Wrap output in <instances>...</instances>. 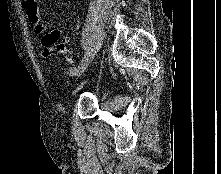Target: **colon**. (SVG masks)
<instances>
[{
	"label": "colon",
	"instance_id": "1",
	"mask_svg": "<svg viewBox=\"0 0 221 174\" xmlns=\"http://www.w3.org/2000/svg\"><path fill=\"white\" fill-rule=\"evenodd\" d=\"M60 37V32L55 30L50 34V40L58 41ZM56 52L61 53V52H68V49L66 48L64 43H60L56 46L55 48Z\"/></svg>",
	"mask_w": 221,
	"mask_h": 174
}]
</instances>
